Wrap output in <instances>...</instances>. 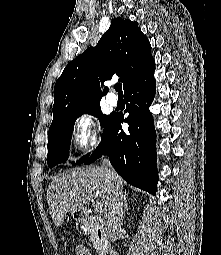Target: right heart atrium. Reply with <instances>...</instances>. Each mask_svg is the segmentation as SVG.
<instances>
[{
  "label": "right heart atrium",
  "instance_id": "1",
  "mask_svg": "<svg viewBox=\"0 0 221 255\" xmlns=\"http://www.w3.org/2000/svg\"><path fill=\"white\" fill-rule=\"evenodd\" d=\"M98 122L95 116L83 111L76 116L72 126V142L78 151H86L98 143Z\"/></svg>",
  "mask_w": 221,
  "mask_h": 255
}]
</instances>
